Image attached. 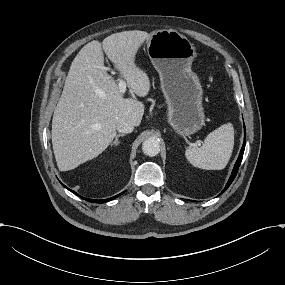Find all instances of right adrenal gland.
I'll list each match as a JSON object with an SVG mask.
<instances>
[{"label": "right adrenal gland", "instance_id": "1", "mask_svg": "<svg viewBox=\"0 0 285 285\" xmlns=\"http://www.w3.org/2000/svg\"><path fill=\"white\" fill-rule=\"evenodd\" d=\"M123 136H125V134H123V133L117 134L116 137H115V140L111 143V146L119 145L120 144L119 137H123Z\"/></svg>", "mask_w": 285, "mask_h": 285}]
</instances>
